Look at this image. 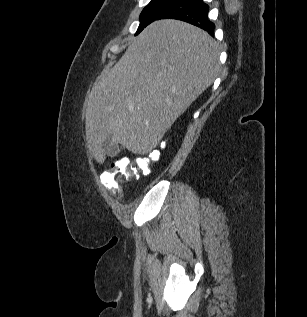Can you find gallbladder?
<instances>
[{
	"label": "gallbladder",
	"instance_id": "gallbladder-1",
	"mask_svg": "<svg viewBox=\"0 0 307 317\" xmlns=\"http://www.w3.org/2000/svg\"><path fill=\"white\" fill-rule=\"evenodd\" d=\"M120 151V148L117 144L112 145V147L108 151V156L115 157Z\"/></svg>",
	"mask_w": 307,
	"mask_h": 317
}]
</instances>
